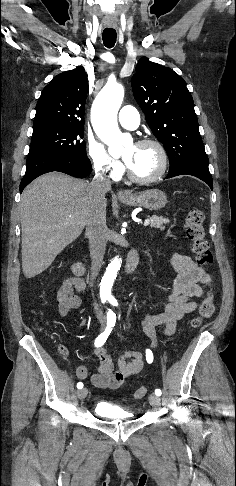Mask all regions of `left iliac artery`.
<instances>
[{
  "mask_svg": "<svg viewBox=\"0 0 236 486\" xmlns=\"http://www.w3.org/2000/svg\"><path fill=\"white\" fill-rule=\"evenodd\" d=\"M110 303H112L113 305H117V302L114 300V299H109ZM146 359H147V362L148 363H152L153 361V353L151 350L149 349H146ZM155 394L157 396H160L162 394L161 390L160 389H156L155 390Z\"/></svg>",
  "mask_w": 236,
  "mask_h": 486,
  "instance_id": "44dca946",
  "label": "left iliac artery"
}]
</instances>
